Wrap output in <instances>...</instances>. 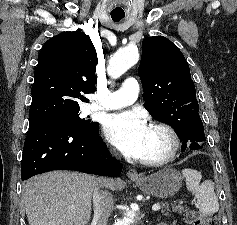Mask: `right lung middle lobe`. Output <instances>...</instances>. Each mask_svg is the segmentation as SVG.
Listing matches in <instances>:
<instances>
[{
	"label": "right lung middle lobe",
	"mask_w": 237,
	"mask_h": 225,
	"mask_svg": "<svg viewBox=\"0 0 237 225\" xmlns=\"http://www.w3.org/2000/svg\"><path fill=\"white\" fill-rule=\"evenodd\" d=\"M80 111L62 114L50 117L38 123L52 124L70 128L74 131L89 132L97 129L99 124L91 122L90 120H85L79 117Z\"/></svg>",
	"instance_id": "obj_1"
}]
</instances>
